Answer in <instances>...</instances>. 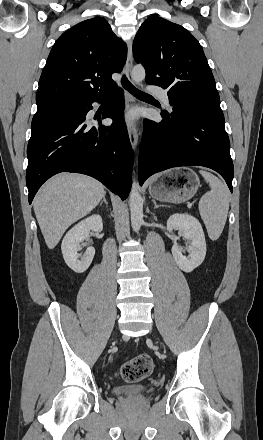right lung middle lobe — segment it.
Listing matches in <instances>:
<instances>
[{"label": "right lung middle lobe", "mask_w": 263, "mask_h": 440, "mask_svg": "<svg viewBox=\"0 0 263 440\" xmlns=\"http://www.w3.org/2000/svg\"><path fill=\"white\" fill-rule=\"evenodd\" d=\"M77 112L75 102H62L38 107L31 124V135L45 130L58 121L75 117Z\"/></svg>", "instance_id": "obj_1"}]
</instances>
